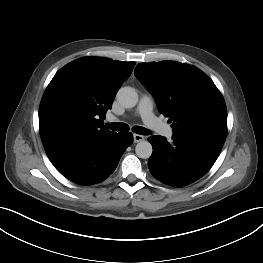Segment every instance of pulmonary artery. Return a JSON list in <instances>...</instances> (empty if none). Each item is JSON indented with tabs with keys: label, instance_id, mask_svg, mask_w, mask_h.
I'll return each instance as SVG.
<instances>
[{
	"label": "pulmonary artery",
	"instance_id": "1",
	"mask_svg": "<svg viewBox=\"0 0 263 263\" xmlns=\"http://www.w3.org/2000/svg\"><path fill=\"white\" fill-rule=\"evenodd\" d=\"M137 113L142 118L143 122L151 129L156 130L161 135L171 137L173 134L172 127L164 124L153 113V101L148 96H143L140 99L137 107ZM114 117H110L109 120H114Z\"/></svg>",
	"mask_w": 263,
	"mask_h": 263
}]
</instances>
